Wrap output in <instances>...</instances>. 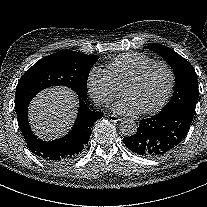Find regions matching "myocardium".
Instances as JSON below:
<instances>
[{
	"instance_id": "f54148a6",
	"label": "myocardium",
	"mask_w": 207,
	"mask_h": 207,
	"mask_svg": "<svg viewBox=\"0 0 207 207\" xmlns=\"http://www.w3.org/2000/svg\"><path fill=\"white\" fill-rule=\"evenodd\" d=\"M154 66H161L166 69V71L169 74V85H168L167 91L165 93V96L162 99V101L160 102V104L151 110L138 112L139 116H150V115H154V114L158 113L161 109H163L168 104V102L172 96V93L174 91L175 74H174V71L171 68V66L168 63H166L165 61H151L148 64L144 65L142 68H140L134 75H132L124 83V85L122 87V95L125 97L126 96V88L136 84L147 73V71Z\"/></svg>"
}]
</instances>
